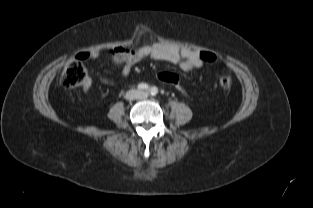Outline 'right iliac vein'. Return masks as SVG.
Listing matches in <instances>:
<instances>
[{
  "label": "right iliac vein",
  "instance_id": "1",
  "mask_svg": "<svg viewBox=\"0 0 313 208\" xmlns=\"http://www.w3.org/2000/svg\"><path fill=\"white\" fill-rule=\"evenodd\" d=\"M139 96V92L137 90H130L126 94V99L127 100H134L137 99Z\"/></svg>",
  "mask_w": 313,
  "mask_h": 208
}]
</instances>
